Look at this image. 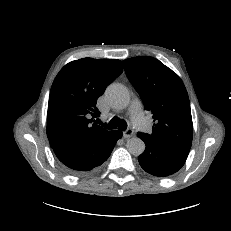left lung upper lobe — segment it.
Instances as JSON below:
<instances>
[{"mask_svg":"<svg viewBox=\"0 0 231 231\" xmlns=\"http://www.w3.org/2000/svg\"><path fill=\"white\" fill-rule=\"evenodd\" d=\"M123 63L128 79L155 121L152 133L142 134L155 142L190 149L193 123L181 78L153 57H133Z\"/></svg>","mask_w":231,"mask_h":231,"instance_id":"left-lung-upper-lobe-1","label":"left lung upper lobe"}]
</instances>
